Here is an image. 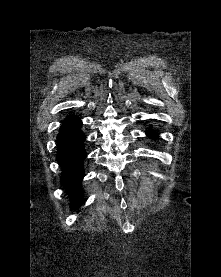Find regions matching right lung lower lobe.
Returning a JSON list of instances; mask_svg holds the SVG:
<instances>
[{"label":"right lung lower lobe","instance_id":"right-lung-lower-lobe-1","mask_svg":"<svg viewBox=\"0 0 221 277\" xmlns=\"http://www.w3.org/2000/svg\"><path fill=\"white\" fill-rule=\"evenodd\" d=\"M81 120L68 116L63 122L57 137V161L62 168L61 183L71 196L72 208L82 202L81 182L84 176L83 161L85 135L81 131Z\"/></svg>","mask_w":221,"mask_h":277}]
</instances>
